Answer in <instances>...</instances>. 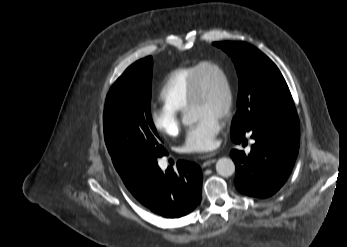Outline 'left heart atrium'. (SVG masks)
<instances>
[{"mask_svg": "<svg viewBox=\"0 0 347 247\" xmlns=\"http://www.w3.org/2000/svg\"><path fill=\"white\" fill-rule=\"evenodd\" d=\"M221 127L222 123L219 117L202 116L188 128L182 150L186 153H201L211 150Z\"/></svg>", "mask_w": 347, "mask_h": 247, "instance_id": "39dd6f15", "label": "left heart atrium"}]
</instances>
